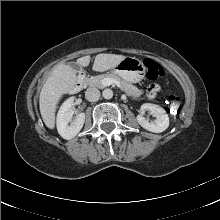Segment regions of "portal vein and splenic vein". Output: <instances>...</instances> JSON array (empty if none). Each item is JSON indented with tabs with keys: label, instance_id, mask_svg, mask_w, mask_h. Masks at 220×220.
<instances>
[{
	"label": "portal vein and splenic vein",
	"instance_id": "18ae733b",
	"mask_svg": "<svg viewBox=\"0 0 220 220\" xmlns=\"http://www.w3.org/2000/svg\"><path fill=\"white\" fill-rule=\"evenodd\" d=\"M102 84L104 86H110L111 84H115L117 87L122 88L121 84L112 78H105L102 80Z\"/></svg>",
	"mask_w": 220,
	"mask_h": 220
}]
</instances>
